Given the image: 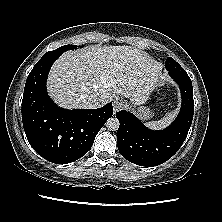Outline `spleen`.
Listing matches in <instances>:
<instances>
[{"label": "spleen", "mask_w": 222, "mask_h": 222, "mask_svg": "<svg viewBox=\"0 0 222 222\" xmlns=\"http://www.w3.org/2000/svg\"><path fill=\"white\" fill-rule=\"evenodd\" d=\"M177 113H178V111L174 110L171 113H168L166 116H164L159 121H152V122L146 123V126L151 128V129H154V130L164 129L169 124H171V122L174 120Z\"/></svg>", "instance_id": "3e777b00"}]
</instances>
